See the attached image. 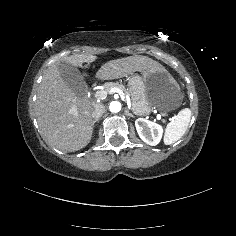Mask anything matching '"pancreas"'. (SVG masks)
<instances>
[{"instance_id": "cf45deb5", "label": "pancreas", "mask_w": 236, "mask_h": 236, "mask_svg": "<svg viewBox=\"0 0 236 236\" xmlns=\"http://www.w3.org/2000/svg\"><path fill=\"white\" fill-rule=\"evenodd\" d=\"M110 88H119L120 90L123 91L126 98L130 97L129 91L126 90V88L123 84H119L118 82H108V83H105L103 86V89H105V90H109Z\"/></svg>"}]
</instances>
